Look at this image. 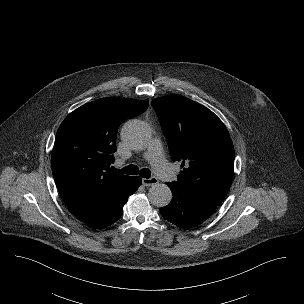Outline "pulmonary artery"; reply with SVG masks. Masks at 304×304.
I'll return each mask as SVG.
<instances>
[{
  "label": "pulmonary artery",
  "mask_w": 304,
  "mask_h": 304,
  "mask_svg": "<svg viewBox=\"0 0 304 304\" xmlns=\"http://www.w3.org/2000/svg\"><path fill=\"white\" fill-rule=\"evenodd\" d=\"M145 157L152 164L156 174L161 179L171 181L175 177L173 168L163 156L162 144L159 139L155 138L151 141Z\"/></svg>",
  "instance_id": "pulmonary-artery-1"
}]
</instances>
